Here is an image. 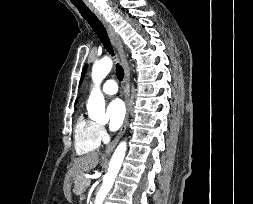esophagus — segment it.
<instances>
[{
    "label": "esophagus",
    "instance_id": "34e87169",
    "mask_svg": "<svg viewBox=\"0 0 253 204\" xmlns=\"http://www.w3.org/2000/svg\"><path fill=\"white\" fill-rule=\"evenodd\" d=\"M87 6L98 17V19L101 21V23L105 27L112 44L114 45V47L117 49L118 53L121 56V61H122V65H123L124 73H125L123 88H124V98H125V104H126V115H125V119L119 133L117 134L115 139L112 141V143L108 146V148L105 150L103 154L104 157H108L112 153V151L114 150V148L116 147V145L118 144L122 136L124 135L127 125H128V119H129V114H130V99H129V94H128V87H129V82H130V68H129L125 53H124L121 39L119 38V36L117 35L113 27L107 22V20L101 15V13L96 8H94V6H92L90 3H88Z\"/></svg>",
    "mask_w": 253,
    "mask_h": 204
}]
</instances>
